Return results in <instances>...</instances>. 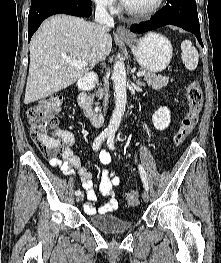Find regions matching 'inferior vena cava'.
Segmentation results:
<instances>
[{"label": "inferior vena cava", "instance_id": "inferior-vena-cava-1", "mask_svg": "<svg viewBox=\"0 0 221 263\" xmlns=\"http://www.w3.org/2000/svg\"><path fill=\"white\" fill-rule=\"evenodd\" d=\"M95 20L102 27H113L114 26L113 17L108 13L105 7L104 0H96ZM104 86H105V93H104V98H103V107H104L103 111L105 114L106 106L108 104V90L105 84Z\"/></svg>", "mask_w": 221, "mask_h": 263}]
</instances>
